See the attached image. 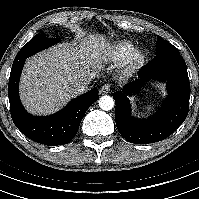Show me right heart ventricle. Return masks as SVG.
Instances as JSON below:
<instances>
[{
    "label": "right heart ventricle",
    "instance_id": "obj_1",
    "mask_svg": "<svg viewBox=\"0 0 199 199\" xmlns=\"http://www.w3.org/2000/svg\"><path fill=\"white\" fill-rule=\"evenodd\" d=\"M132 49V43L128 41H119L108 46L105 50L104 55L109 61L120 62Z\"/></svg>",
    "mask_w": 199,
    "mask_h": 199
}]
</instances>
